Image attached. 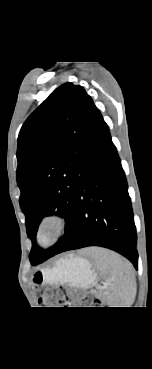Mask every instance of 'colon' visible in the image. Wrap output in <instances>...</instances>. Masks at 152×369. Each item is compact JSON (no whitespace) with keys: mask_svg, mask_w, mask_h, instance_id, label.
<instances>
[{"mask_svg":"<svg viewBox=\"0 0 152 369\" xmlns=\"http://www.w3.org/2000/svg\"><path fill=\"white\" fill-rule=\"evenodd\" d=\"M42 303L50 307H69L75 306L79 308L87 307L95 300L87 292L58 287L54 291L44 293Z\"/></svg>","mask_w":152,"mask_h":369,"instance_id":"colon-1","label":"colon"}]
</instances>
